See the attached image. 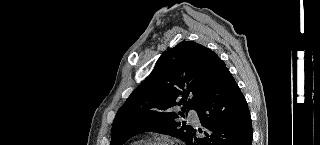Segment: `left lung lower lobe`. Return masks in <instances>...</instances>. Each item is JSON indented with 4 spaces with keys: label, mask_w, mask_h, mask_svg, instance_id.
<instances>
[{
    "label": "left lung lower lobe",
    "mask_w": 320,
    "mask_h": 145,
    "mask_svg": "<svg viewBox=\"0 0 320 145\" xmlns=\"http://www.w3.org/2000/svg\"><path fill=\"white\" fill-rule=\"evenodd\" d=\"M201 101L197 111L204 127L196 138V130L187 145H251L253 131L245 97L220 59L207 72L201 85Z\"/></svg>",
    "instance_id": "1"
}]
</instances>
